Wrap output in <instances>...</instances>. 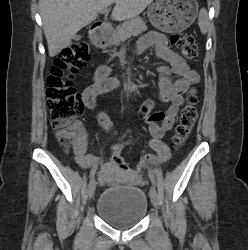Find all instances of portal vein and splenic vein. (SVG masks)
<instances>
[{"mask_svg":"<svg viewBox=\"0 0 248 250\" xmlns=\"http://www.w3.org/2000/svg\"><path fill=\"white\" fill-rule=\"evenodd\" d=\"M99 12H100L101 14H106V13H108V9L105 8V9L100 10Z\"/></svg>","mask_w":248,"mask_h":250,"instance_id":"portal-vein-and-splenic-vein-1","label":"portal vein and splenic vein"}]
</instances>
